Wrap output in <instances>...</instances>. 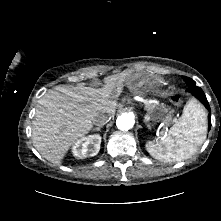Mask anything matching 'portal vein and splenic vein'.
<instances>
[{
	"label": "portal vein and splenic vein",
	"mask_w": 221,
	"mask_h": 221,
	"mask_svg": "<svg viewBox=\"0 0 221 221\" xmlns=\"http://www.w3.org/2000/svg\"><path fill=\"white\" fill-rule=\"evenodd\" d=\"M145 119H146V120H150L149 115H146V116H145Z\"/></svg>",
	"instance_id": "portal-vein-and-splenic-vein-1"
}]
</instances>
